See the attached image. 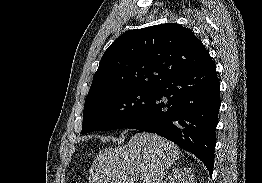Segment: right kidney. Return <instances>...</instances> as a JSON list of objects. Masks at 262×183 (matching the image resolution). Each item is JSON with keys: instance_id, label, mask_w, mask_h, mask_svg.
<instances>
[{"instance_id": "obj_1", "label": "right kidney", "mask_w": 262, "mask_h": 183, "mask_svg": "<svg viewBox=\"0 0 262 183\" xmlns=\"http://www.w3.org/2000/svg\"><path fill=\"white\" fill-rule=\"evenodd\" d=\"M194 171L191 168H175L165 183H193Z\"/></svg>"}]
</instances>
